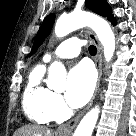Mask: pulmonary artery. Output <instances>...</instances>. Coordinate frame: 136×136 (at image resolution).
I'll return each mask as SVG.
<instances>
[{
	"label": "pulmonary artery",
	"instance_id": "1",
	"mask_svg": "<svg viewBox=\"0 0 136 136\" xmlns=\"http://www.w3.org/2000/svg\"><path fill=\"white\" fill-rule=\"evenodd\" d=\"M84 42L76 37L67 39L59 44L56 49L44 55V62H49L54 58H72L79 55Z\"/></svg>",
	"mask_w": 136,
	"mask_h": 136
}]
</instances>
